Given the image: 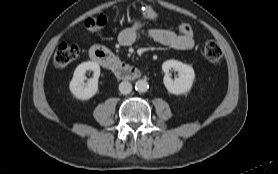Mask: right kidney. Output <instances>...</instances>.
<instances>
[{"label":"right kidney","mask_w":278,"mask_h":174,"mask_svg":"<svg viewBox=\"0 0 278 174\" xmlns=\"http://www.w3.org/2000/svg\"><path fill=\"white\" fill-rule=\"evenodd\" d=\"M87 70L93 71V78L85 84V73ZM100 76V66L96 62H83L77 66L73 78L69 84L71 93L80 100L92 98L98 91V78Z\"/></svg>","instance_id":"1"}]
</instances>
